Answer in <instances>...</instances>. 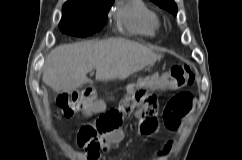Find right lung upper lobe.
Returning <instances> with one entry per match:
<instances>
[{
    "instance_id": "right-lung-upper-lobe-1",
    "label": "right lung upper lobe",
    "mask_w": 242,
    "mask_h": 160,
    "mask_svg": "<svg viewBox=\"0 0 242 160\" xmlns=\"http://www.w3.org/2000/svg\"><path fill=\"white\" fill-rule=\"evenodd\" d=\"M91 1H95V0H68L66 3L83 4V3H87V2H91Z\"/></svg>"
}]
</instances>
